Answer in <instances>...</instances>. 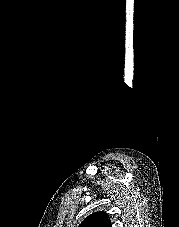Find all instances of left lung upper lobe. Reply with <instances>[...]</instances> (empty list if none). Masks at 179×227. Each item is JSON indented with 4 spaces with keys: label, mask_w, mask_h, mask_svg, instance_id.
<instances>
[{
    "label": "left lung upper lobe",
    "mask_w": 179,
    "mask_h": 227,
    "mask_svg": "<svg viewBox=\"0 0 179 227\" xmlns=\"http://www.w3.org/2000/svg\"><path fill=\"white\" fill-rule=\"evenodd\" d=\"M78 227H112L108 215L104 211L89 215Z\"/></svg>",
    "instance_id": "5c2ea615"
}]
</instances>
